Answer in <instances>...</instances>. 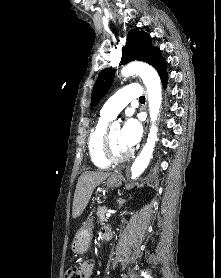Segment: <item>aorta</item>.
Instances as JSON below:
<instances>
[{
  "mask_svg": "<svg viewBox=\"0 0 221 278\" xmlns=\"http://www.w3.org/2000/svg\"><path fill=\"white\" fill-rule=\"evenodd\" d=\"M121 75L123 77L139 75L142 78L148 93L149 113L152 125L150 127L147 142L131 167V178L136 179L147 168L157 140L158 128L155 125V122L159 114L162 100L161 81L156 70L149 64L143 62H132L127 64L121 70Z\"/></svg>",
  "mask_w": 221,
  "mask_h": 278,
  "instance_id": "1",
  "label": "aorta"
}]
</instances>
